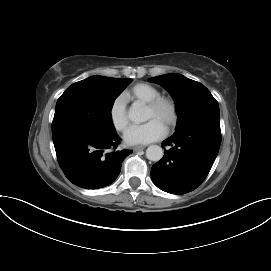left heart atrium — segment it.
Returning a JSON list of instances; mask_svg holds the SVG:
<instances>
[{
    "instance_id": "39dd6f15",
    "label": "left heart atrium",
    "mask_w": 271,
    "mask_h": 271,
    "mask_svg": "<svg viewBox=\"0 0 271 271\" xmlns=\"http://www.w3.org/2000/svg\"><path fill=\"white\" fill-rule=\"evenodd\" d=\"M166 128L157 120L151 119L142 125H133L124 133V141L129 145L148 144L163 138Z\"/></svg>"
}]
</instances>
